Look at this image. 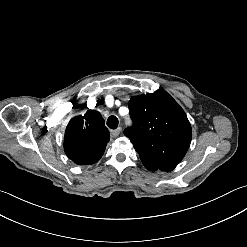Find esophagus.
<instances>
[{
	"mask_svg": "<svg viewBox=\"0 0 247 247\" xmlns=\"http://www.w3.org/2000/svg\"><path fill=\"white\" fill-rule=\"evenodd\" d=\"M121 130H122L121 127H118L117 129L111 131V136H112L113 138L118 137V135L121 133Z\"/></svg>",
	"mask_w": 247,
	"mask_h": 247,
	"instance_id": "34e87169",
	"label": "esophagus"
}]
</instances>
